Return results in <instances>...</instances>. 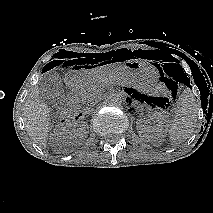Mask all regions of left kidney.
Listing matches in <instances>:
<instances>
[{"mask_svg":"<svg viewBox=\"0 0 213 213\" xmlns=\"http://www.w3.org/2000/svg\"><path fill=\"white\" fill-rule=\"evenodd\" d=\"M153 117L156 120V125L152 129H149L145 125L144 120H139L137 122V130L140 137L150 140L165 137L168 130L167 115L162 111H155Z\"/></svg>","mask_w":213,"mask_h":213,"instance_id":"5707ae66","label":"left kidney"}]
</instances>
